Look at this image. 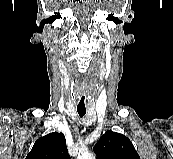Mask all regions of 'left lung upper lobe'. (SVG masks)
<instances>
[{"label":"left lung upper lobe","instance_id":"1","mask_svg":"<svg viewBox=\"0 0 173 159\" xmlns=\"http://www.w3.org/2000/svg\"><path fill=\"white\" fill-rule=\"evenodd\" d=\"M97 159H140L132 142L124 135L107 131L94 146Z\"/></svg>","mask_w":173,"mask_h":159}]
</instances>
